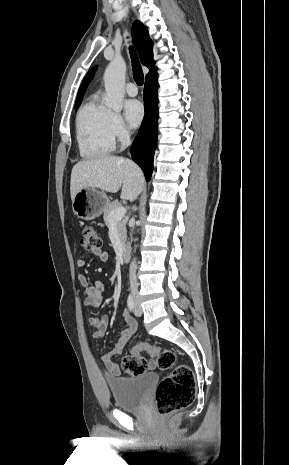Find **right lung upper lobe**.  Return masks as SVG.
<instances>
[{
  "instance_id": "1",
  "label": "right lung upper lobe",
  "mask_w": 289,
  "mask_h": 465,
  "mask_svg": "<svg viewBox=\"0 0 289 465\" xmlns=\"http://www.w3.org/2000/svg\"><path fill=\"white\" fill-rule=\"evenodd\" d=\"M132 36L133 41L136 46V49L139 53L141 63L149 68V73L146 76V79L157 76V67H155V62L153 60V43L149 37L147 28L140 22L135 21L132 26ZM96 71V67H93L85 76L76 98V102L82 101L84 92L93 79Z\"/></svg>"
}]
</instances>
